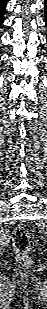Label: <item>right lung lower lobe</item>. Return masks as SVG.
<instances>
[{
    "mask_svg": "<svg viewBox=\"0 0 47 309\" xmlns=\"http://www.w3.org/2000/svg\"><path fill=\"white\" fill-rule=\"evenodd\" d=\"M5 9H6V0H0V26L4 21Z\"/></svg>",
    "mask_w": 47,
    "mask_h": 309,
    "instance_id": "98d812e1",
    "label": "right lung lower lobe"
}]
</instances>
